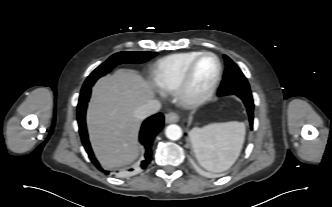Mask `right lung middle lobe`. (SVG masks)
Returning a JSON list of instances; mask_svg holds the SVG:
<instances>
[{
    "instance_id": "1",
    "label": "right lung middle lobe",
    "mask_w": 332,
    "mask_h": 207,
    "mask_svg": "<svg viewBox=\"0 0 332 207\" xmlns=\"http://www.w3.org/2000/svg\"><path fill=\"white\" fill-rule=\"evenodd\" d=\"M155 52H118L97 67L86 79L82 90L91 88L97 79L109 73L116 65L121 63H143L156 56Z\"/></svg>"
}]
</instances>
